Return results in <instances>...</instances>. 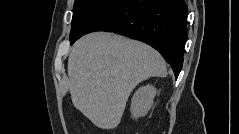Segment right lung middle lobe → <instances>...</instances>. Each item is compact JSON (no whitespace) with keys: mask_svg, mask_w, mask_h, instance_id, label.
Instances as JSON below:
<instances>
[{"mask_svg":"<svg viewBox=\"0 0 239 134\" xmlns=\"http://www.w3.org/2000/svg\"><path fill=\"white\" fill-rule=\"evenodd\" d=\"M119 0H75L70 41L80 38L87 28Z\"/></svg>","mask_w":239,"mask_h":134,"instance_id":"obj_1","label":"right lung middle lobe"}]
</instances>
